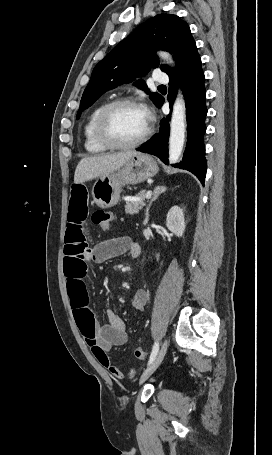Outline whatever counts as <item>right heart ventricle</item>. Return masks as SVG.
Segmentation results:
<instances>
[{
  "label": "right heart ventricle",
  "mask_w": 272,
  "mask_h": 455,
  "mask_svg": "<svg viewBox=\"0 0 272 455\" xmlns=\"http://www.w3.org/2000/svg\"><path fill=\"white\" fill-rule=\"evenodd\" d=\"M105 104L102 103L96 106L89 114L86 123L84 125V147L87 152L91 154H100L104 153L108 150V148L101 145L94 136V121L99 113V111L103 108Z\"/></svg>",
  "instance_id": "obj_1"
}]
</instances>
